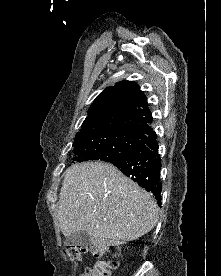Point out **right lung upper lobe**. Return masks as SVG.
Listing matches in <instances>:
<instances>
[{"label": "right lung upper lobe", "mask_w": 221, "mask_h": 276, "mask_svg": "<svg viewBox=\"0 0 221 276\" xmlns=\"http://www.w3.org/2000/svg\"><path fill=\"white\" fill-rule=\"evenodd\" d=\"M147 99L132 81L107 87L93 101L75 141L113 132L145 138L153 129Z\"/></svg>", "instance_id": "1"}]
</instances>
